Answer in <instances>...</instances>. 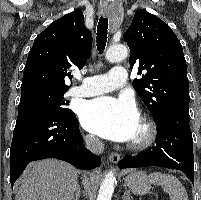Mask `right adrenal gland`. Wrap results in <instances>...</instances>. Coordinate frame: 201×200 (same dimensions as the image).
Returning a JSON list of instances; mask_svg holds the SVG:
<instances>
[{"label":"right adrenal gland","mask_w":201,"mask_h":200,"mask_svg":"<svg viewBox=\"0 0 201 200\" xmlns=\"http://www.w3.org/2000/svg\"><path fill=\"white\" fill-rule=\"evenodd\" d=\"M80 193H81V188H80L79 184H77V186H76V193H75V196H74L73 200H79Z\"/></svg>","instance_id":"right-adrenal-gland-1"}]
</instances>
